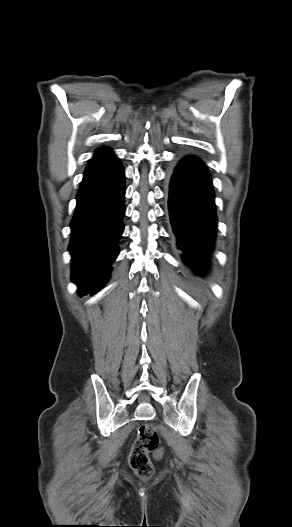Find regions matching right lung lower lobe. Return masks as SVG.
Returning <instances> with one entry per match:
<instances>
[{
	"instance_id": "1",
	"label": "right lung lower lobe",
	"mask_w": 292,
	"mask_h": 527,
	"mask_svg": "<svg viewBox=\"0 0 292 527\" xmlns=\"http://www.w3.org/2000/svg\"><path fill=\"white\" fill-rule=\"evenodd\" d=\"M125 175L119 159L108 148L91 158L71 221L72 280L79 294H94L109 278L123 233Z\"/></svg>"
}]
</instances>
